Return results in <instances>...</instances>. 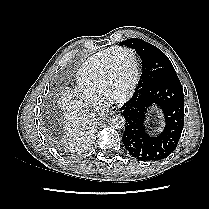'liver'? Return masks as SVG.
I'll return each instance as SVG.
<instances>
[{
	"mask_svg": "<svg viewBox=\"0 0 209 209\" xmlns=\"http://www.w3.org/2000/svg\"><path fill=\"white\" fill-rule=\"evenodd\" d=\"M60 104L67 120L66 143L70 147L83 145L88 141L93 129L87 105L81 100L74 99L70 91L62 94Z\"/></svg>",
	"mask_w": 209,
	"mask_h": 209,
	"instance_id": "1",
	"label": "liver"
}]
</instances>
